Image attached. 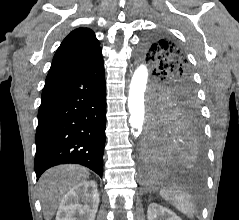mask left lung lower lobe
I'll return each instance as SVG.
<instances>
[{"label": "left lung lower lobe", "instance_id": "obj_1", "mask_svg": "<svg viewBox=\"0 0 239 220\" xmlns=\"http://www.w3.org/2000/svg\"><path fill=\"white\" fill-rule=\"evenodd\" d=\"M142 152L150 173L171 164L201 162L204 144L198 112H167L153 106Z\"/></svg>", "mask_w": 239, "mask_h": 220}]
</instances>
